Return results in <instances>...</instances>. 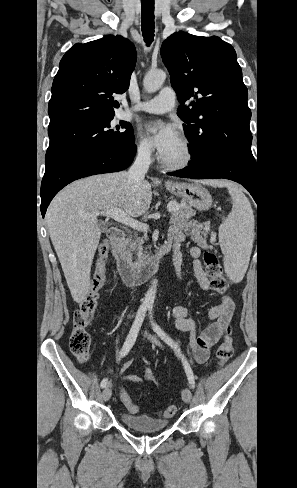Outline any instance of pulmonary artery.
<instances>
[{
	"label": "pulmonary artery",
	"mask_w": 297,
	"mask_h": 488,
	"mask_svg": "<svg viewBox=\"0 0 297 488\" xmlns=\"http://www.w3.org/2000/svg\"><path fill=\"white\" fill-rule=\"evenodd\" d=\"M175 106V92L172 88H163L160 94L150 100L141 102L131 110L162 114L172 110Z\"/></svg>",
	"instance_id": "1"
}]
</instances>
